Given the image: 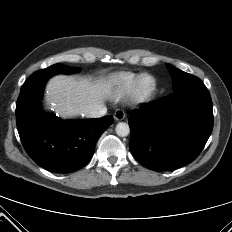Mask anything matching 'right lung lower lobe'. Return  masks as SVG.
I'll list each match as a JSON object with an SVG mask.
<instances>
[{
    "label": "right lung lower lobe",
    "mask_w": 232,
    "mask_h": 232,
    "mask_svg": "<svg viewBox=\"0 0 232 232\" xmlns=\"http://www.w3.org/2000/svg\"><path fill=\"white\" fill-rule=\"evenodd\" d=\"M46 82L21 88L16 104L18 133L37 164L50 171L70 173L90 161L98 138L113 118L60 120L44 113L40 99Z\"/></svg>",
    "instance_id": "right-lung-lower-lobe-1"
}]
</instances>
